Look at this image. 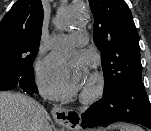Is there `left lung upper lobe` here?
Segmentation results:
<instances>
[{"mask_svg": "<svg viewBox=\"0 0 151 131\" xmlns=\"http://www.w3.org/2000/svg\"><path fill=\"white\" fill-rule=\"evenodd\" d=\"M94 16L93 38L101 51L104 94L132 77L142 76L139 37L124 0H89Z\"/></svg>", "mask_w": 151, "mask_h": 131, "instance_id": "5c2ea615", "label": "left lung upper lobe"}]
</instances>
